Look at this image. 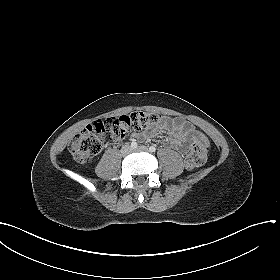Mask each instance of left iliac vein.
<instances>
[{"label":"left iliac vein","mask_w":280,"mask_h":280,"mask_svg":"<svg viewBox=\"0 0 280 280\" xmlns=\"http://www.w3.org/2000/svg\"><path fill=\"white\" fill-rule=\"evenodd\" d=\"M134 151L148 152V148L146 146H140L138 149Z\"/></svg>","instance_id":"4c4485c4"}]
</instances>
